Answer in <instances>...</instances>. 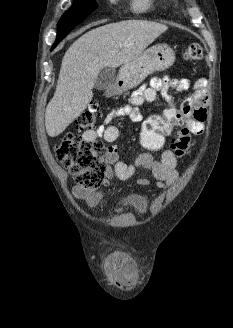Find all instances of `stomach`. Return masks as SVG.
I'll return each mask as SVG.
<instances>
[{
  "mask_svg": "<svg viewBox=\"0 0 233 328\" xmlns=\"http://www.w3.org/2000/svg\"><path fill=\"white\" fill-rule=\"evenodd\" d=\"M175 61L174 51L166 44H158L144 51L138 58L123 64L112 95L121 94L139 85L148 75L163 71Z\"/></svg>",
  "mask_w": 233,
  "mask_h": 328,
  "instance_id": "obj_1",
  "label": "stomach"
}]
</instances>
